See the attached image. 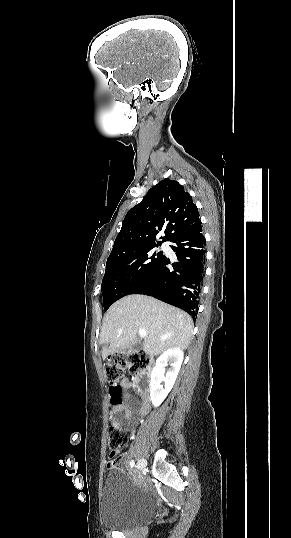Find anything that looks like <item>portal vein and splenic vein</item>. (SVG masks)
Here are the masks:
<instances>
[{
	"label": "portal vein and splenic vein",
	"instance_id": "1",
	"mask_svg": "<svg viewBox=\"0 0 291 538\" xmlns=\"http://www.w3.org/2000/svg\"><path fill=\"white\" fill-rule=\"evenodd\" d=\"M138 334H139L140 337L143 338V337L146 336V331L144 329H139Z\"/></svg>",
	"mask_w": 291,
	"mask_h": 538
}]
</instances>
